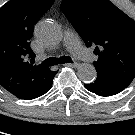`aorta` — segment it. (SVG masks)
Here are the masks:
<instances>
[{"label": "aorta", "instance_id": "obj_1", "mask_svg": "<svg viewBox=\"0 0 135 135\" xmlns=\"http://www.w3.org/2000/svg\"><path fill=\"white\" fill-rule=\"evenodd\" d=\"M36 35L48 45H58L63 38L60 26L51 21L40 22L36 28ZM77 75L83 82H92L96 78V69L93 65L85 63L78 68Z\"/></svg>", "mask_w": 135, "mask_h": 135}]
</instances>
